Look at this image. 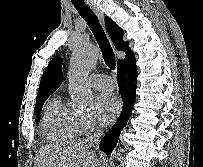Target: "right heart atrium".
<instances>
[{
    "mask_svg": "<svg viewBox=\"0 0 203 167\" xmlns=\"http://www.w3.org/2000/svg\"><path fill=\"white\" fill-rule=\"evenodd\" d=\"M77 120L80 132L88 133L97 128V122L90 114H77Z\"/></svg>",
    "mask_w": 203,
    "mask_h": 167,
    "instance_id": "1",
    "label": "right heart atrium"
}]
</instances>
